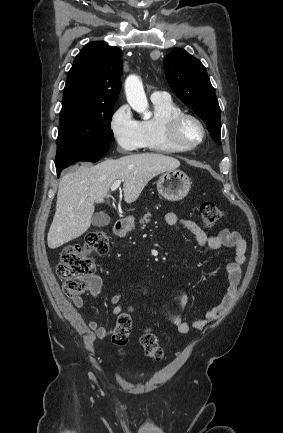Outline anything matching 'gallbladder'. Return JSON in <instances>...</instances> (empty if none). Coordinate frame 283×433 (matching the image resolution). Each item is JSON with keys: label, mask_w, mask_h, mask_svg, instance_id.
<instances>
[{"label": "gallbladder", "mask_w": 283, "mask_h": 433, "mask_svg": "<svg viewBox=\"0 0 283 433\" xmlns=\"http://www.w3.org/2000/svg\"><path fill=\"white\" fill-rule=\"evenodd\" d=\"M91 223L93 227H105V225H109L110 223L109 214H105V212H96L94 217L91 219Z\"/></svg>", "instance_id": "gallbladder-1"}]
</instances>
